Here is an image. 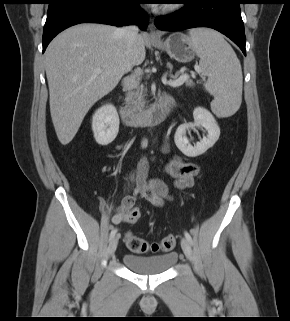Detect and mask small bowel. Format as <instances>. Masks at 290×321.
I'll return each instance as SVG.
<instances>
[{
	"mask_svg": "<svg viewBox=\"0 0 290 321\" xmlns=\"http://www.w3.org/2000/svg\"><path fill=\"white\" fill-rule=\"evenodd\" d=\"M167 134L163 135V148L167 146ZM166 173L174 180L178 188H186L194 183L200 172L199 165L179 158L171 159L165 166ZM148 161L143 158L137 166L136 181L132 193L127 194L117 207L115 222L129 221V211L138 198H144L156 208H161L164 200L169 198L167 185L160 180H149L147 177Z\"/></svg>",
	"mask_w": 290,
	"mask_h": 321,
	"instance_id": "obj_1",
	"label": "small bowel"
}]
</instances>
